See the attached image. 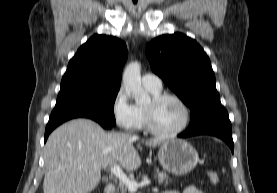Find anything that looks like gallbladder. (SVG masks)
<instances>
[{
	"mask_svg": "<svg viewBox=\"0 0 277 193\" xmlns=\"http://www.w3.org/2000/svg\"><path fill=\"white\" fill-rule=\"evenodd\" d=\"M102 180H103V182H107V178L106 177H103Z\"/></svg>",
	"mask_w": 277,
	"mask_h": 193,
	"instance_id": "obj_1",
	"label": "gallbladder"
}]
</instances>
